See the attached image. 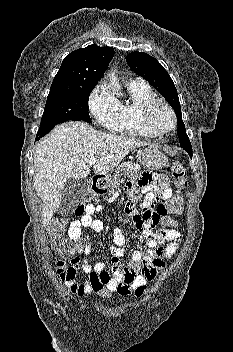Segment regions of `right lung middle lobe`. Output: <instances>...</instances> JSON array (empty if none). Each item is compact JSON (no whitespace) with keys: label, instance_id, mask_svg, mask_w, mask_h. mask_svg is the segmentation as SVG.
Masks as SVG:
<instances>
[{"label":"right lung middle lobe","instance_id":"obj_1","mask_svg":"<svg viewBox=\"0 0 233 352\" xmlns=\"http://www.w3.org/2000/svg\"><path fill=\"white\" fill-rule=\"evenodd\" d=\"M94 87L95 85L72 90L50 89L38 132L71 120L91 123L87 107L89 94Z\"/></svg>","mask_w":233,"mask_h":352}]
</instances>
